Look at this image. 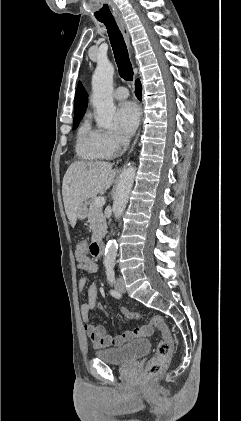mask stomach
Instances as JSON below:
<instances>
[{"label": "stomach", "mask_w": 241, "mask_h": 421, "mask_svg": "<svg viewBox=\"0 0 241 421\" xmlns=\"http://www.w3.org/2000/svg\"><path fill=\"white\" fill-rule=\"evenodd\" d=\"M87 216H88L87 204L83 203L77 211V219L84 220L87 218Z\"/></svg>", "instance_id": "obj_1"}]
</instances>
